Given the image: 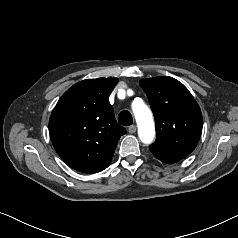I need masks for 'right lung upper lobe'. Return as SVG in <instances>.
Segmentation results:
<instances>
[{"label":"right lung upper lobe","mask_w":238,"mask_h":238,"mask_svg":"<svg viewBox=\"0 0 238 238\" xmlns=\"http://www.w3.org/2000/svg\"><path fill=\"white\" fill-rule=\"evenodd\" d=\"M117 78L80 81L59 99L49 119L52 144L71 168L97 173L110 164L117 142L127 133L108 101Z\"/></svg>","instance_id":"obj_1"}]
</instances>
